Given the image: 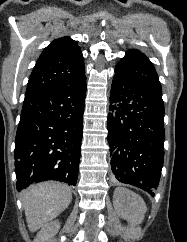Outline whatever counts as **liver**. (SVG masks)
I'll return each mask as SVG.
<instances>
[{"mask_svg": "<svg viewBox=\"0 0 187 242\" xmlns=\"http://www.w3.org/2000/svg\"><path fill=\"white\" fill-rule=\"evenodd\" d=\"M71 189L59 182H43L28 187L22 202L27 225L35 232L60 215L71 203Z\"/></svg>", "mask_w": 187, "mask_h": 242, "instance_id": "liver-1", "label": "liver"}]
</instances>
